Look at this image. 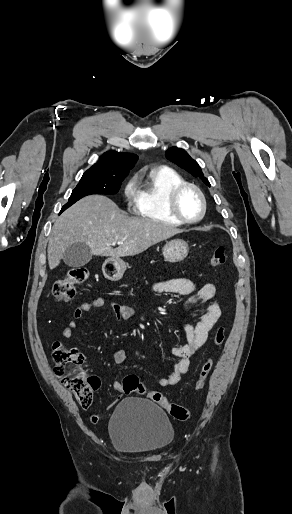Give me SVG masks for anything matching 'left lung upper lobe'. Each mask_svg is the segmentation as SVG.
Wrapping results in <instances>:
<instances>
[{"instance_id":"5c2ea615","label":"left lung upper lobe","mask_w":292,"mask_h":514,"mask_svg":"<svg viewBox=\"0 0 292 514\" xmlns=\"http://www.w3.org/2000/svg\"><path fill=\"white\" fill-rule=\"evenodd\" d=\"M165 156L168 160L183 168L194 177L200 178L207 186H211L208 179L204 177L199 164L192 159L185 150L171 147L166 151Z\"/></svg>"}]
</instances>
